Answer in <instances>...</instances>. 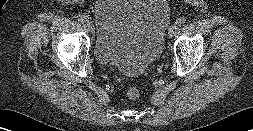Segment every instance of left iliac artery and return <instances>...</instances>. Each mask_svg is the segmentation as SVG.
I'll list each match as a JSON object with an SVG mask.
<instances>
[{"mask_svg": "<svg viewBox=\"0 0 253 131\" xmlns=\"http://www.w3.org/2000/svg\"><path fill=\"white\" fill-rule=\"evenodd\" d=\"M185 21H186V19L185 18H183V17H180V18H178L177 20H176V25L177 26H181V25H183L184 23H185Z\"/></svg>", "mask_w": 253, "mask_h": 131, "instance_id": "left-iliac-artery-1", "label": "left iliac artery"}]
</instances>
